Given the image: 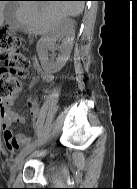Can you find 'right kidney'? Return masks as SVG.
I'll return each mask as SVG.
<instances>
[{
	"instance_id": "ca27d5eb",
	"label": "right kidney",
	"mask_w": 137,
	"mask_h": 189,
	"mask_svg": "<svg viewBox=\"0 0 137 189\" xmlns=\"http://www.w3.org/2000/svg\"><path fill=\"white\" fill-rule=\"evenodd\" d=\"M75 37V31L71 20H62L54 30L43 35L37 42L36 49L43 69L48 73H56L60 71L68 59L73 48V42ZM58 38H64L63 43L60 46L56 45ZM59 50L60 54L58 58L50 60L48 57V51Z\"/></svg>"
}]
</instances>
